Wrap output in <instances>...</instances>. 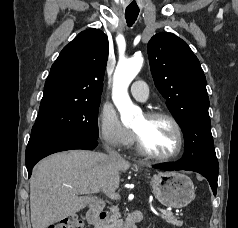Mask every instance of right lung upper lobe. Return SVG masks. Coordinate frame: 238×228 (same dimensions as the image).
<instances>
[{"label": "right lung upper lobe", "instance_id": "cb5924a9", "mask_svg": "<svg viewBox=\"0 0 238 228\" xmlns=\"http://www.w3.org/2000/svg\"><path fill=\"white\" fill-rule=\"evenodd\" d=\"M108 52V38L101 30L79 33L50 69L38 116L74 104L100 102Z\"/></svg>", "mask_w": 238, "mask_h": 228}]
</instances>
